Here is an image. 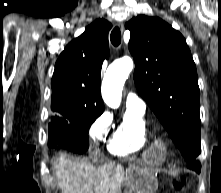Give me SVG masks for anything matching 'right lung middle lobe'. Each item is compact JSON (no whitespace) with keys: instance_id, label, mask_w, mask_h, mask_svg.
Wrapping results in <instances>:
<instances>
[{"instance_id":"1","label":"right lung middle lobe","mask_w":221,"mask_h":193,"mask_svg":"<svg viewBox=\"0 0 221 193\" xmlns=\"http://www.w3.org/2000/svg\"><path fill=\"white\" fill-rule=\"evenodd\" d=\"M100 115L101 113H91L68 118L52 117L48 125V146L59 145L73 152H86L89 145L87 131Z\"/></svg>"}]
</instances>
